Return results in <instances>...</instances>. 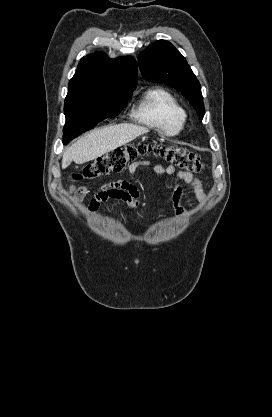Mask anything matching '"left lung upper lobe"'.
<instances>
[{
  "mask_svg": "<svg viewBox=\"0 0 272 417\" xmlns=\"http://www.w3.org/2000/svg\"><path fill=\"white\" fill-rule=\"evenodd\" d=\"M138 64L146 80L176 88L203 118L205 108L200 83L186 59L170 42L159 40L148 46L139 54Z\"/></svg>",
  "mask_w": 272,
  "mask_h": 417,
  "instance_id": "left-lung-upper-lobe-1",
  "label": "left lung upper lobe"
}]
</instances>
